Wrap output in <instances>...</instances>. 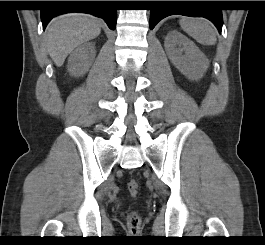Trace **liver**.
Here are the masks:
<instances>
[{
  "label": "liver",
  "mask_w": 265,
  "mask_h": 245,
  "mask_svg": "<svg viewBox=\"0 0 265 245\" xmlns=\"http://www.w3.org/2000/svg\"><path fill=\"white\" fill-rule=\"evenodd\" d=\"M101 20L83 13H69L53 18L48 24L45 43L57 67L78 46L99 36Z\"/></svg>",
  "instance_id": "1"
}]
</instances>
